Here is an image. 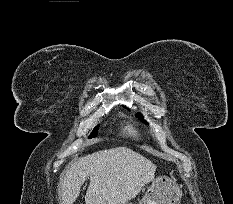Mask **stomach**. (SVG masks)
I'll use <instances>...</instances> for the list:
<instances>
[{"instance_id":"stomach-1","label":"stomach","mask_w":233,"mask_h":204,"mask_svg":"<svg viewBox=\"0 0 233 204\" xmlns=\"http://www.w3.org/2000/svg\"><path fill=\"white\" fill-rule=\"evenodd\" d=\"M180 198L181 189L177 182L167 176H159L152 179L139 204H179Z\"/></svg>"}]
</instances>
